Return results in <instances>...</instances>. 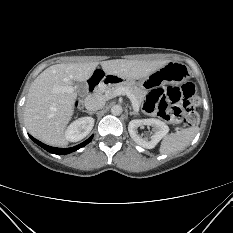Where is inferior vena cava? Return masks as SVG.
<instances>
[{"label": "inferior vena cava", "mask_w": 233, "mask_h": 233, "mask_svg": "<svg viewBox=\"0 0 233 233\" xmlns=\"http://www.w3.org/2000/svg\"><path fill=\"white\" fill-rule=\"evenodd\" d=\"M105 99L98 94H90L85 98L84 104L86 109L96 111L105 106Z\"/></svg>", "instance_id": "inferior-vena-cava-1"}]
</instances>
